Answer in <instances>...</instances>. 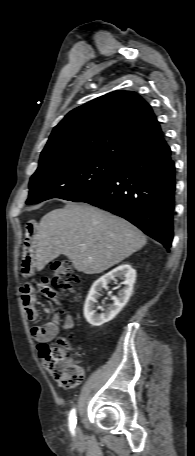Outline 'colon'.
<instances>
[{
	"label": "colon",
	"mask_w": 195,
	"mask_h": 456,
	"mask_svg": "<svg viewBox=\"0 0 195 456\" xmlns=\"http://www.w3.org/2000/svg\"><path fill=\"white\" fill-rule=\"evenodd\" d=\"M53 286L63 292H74L80 278L67 260H54L50 263ZM45 369L62 387L71 388L81 383L83 371L71 359V343L67 338H60L56 343L38 346Z\"/></svg>",
	"instance_id": "5ec220e1"
}]
</instances>
